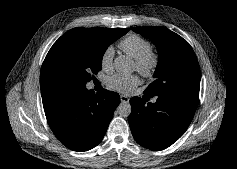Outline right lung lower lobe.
Returning <instances> with one entry per match:
<instances>
[{"label":"right lung lower lobe","instance_id":"right-lung-lower-lobe-1","mask_svg":"<svg viewBox=\"0 0 237 169\" xmlns=\"http://www.w3.org/2000/svg\"><path fill=\"white\" fill-rule=\"evenodd\" d=\"M45 115L55 136L71 150L82 152L103 139L116 107L118 93L95 94L85 86L53 85L41 92Z\"/></svg>","mask_w":237,"mask_h":169}]
</instances>
